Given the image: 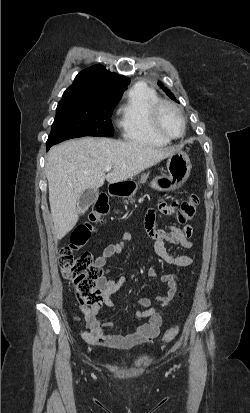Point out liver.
Instances as JSON below:
<instances>
[{"label": "liver", "mask_w": 250, "mask_h": 413, "mask_svg": "<svg viewBox=\"0 0 250 413\" xmlns=\"http://www.w3.org/2000/svg\"><path fill=\"white\" fill-rule=\"evenodd\" d=\"M176 149L110 138L84 137L53 146L45 166L49 203L58 240L78 222L77 203L87 189L101 187L105 179L117 183L169 157ZM113 169L105 175L104 168Z\"/></svg>", "instance_id": "liver-1"}]
</instances>
